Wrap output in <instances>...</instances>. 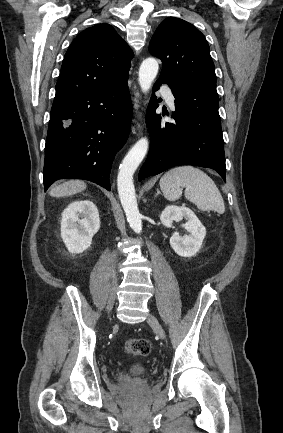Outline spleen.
Wrapping results in <instances>:
<instances>
[{
  "label": "spleen",
  "instance_id": "spleen-1",
  "mask_svg": "<svg viewBox=\"0 0 283 433\" xmlns=\"http://www.w3.org/2000/svg\"><path fill=\"white\" fill-rule=\"evenodd\" d=\"M167 200H178L182 194V186H186L185 196L197 204L200 210H216L225 212V204L214 180L203 170L194 166H176L163 174L159 182Z\"/></svg>",
  "mask_w": 283,
  "mask_h": 433
}]
</instances>
